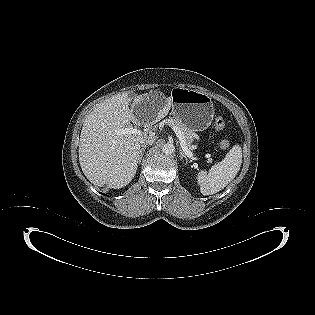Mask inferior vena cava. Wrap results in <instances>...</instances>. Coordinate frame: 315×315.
<instances>
[{"mask_svg":"<svg viewBox=\"0 0 315 315\" xmlns=\"http://www.w3.org/2000/svg\"><path fill=\"white\" fill-rule=\"evenodd\" d=\"M154 142V139L148 138V139H143L140 143L143 145H152Z\"/></svg>","mask_w":315,"mask_h":315,"instance_id":"602c4592","label":"inferior vena cava"}]
</instances>
